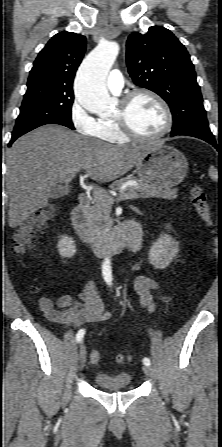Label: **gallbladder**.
<instances>
[{
    "label": "gallbladder",
    "mask_w": 222,
    "mask_h": 447,
    "mask_svg": "<svg viewBox=\"0 0 222 447\" xmlns=\"http://www.w3.org/2000/svg\"><path fill=\"white\" fill-rule=\"evenodd\" d=\"M69 191H70L69 188L58 185L54 187L53 190L51 191L50 198L51 199L61 198L67 195Z\"/></svg>",
    "instance_id": "1"
}]
</instances>
